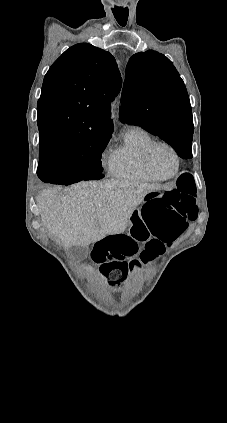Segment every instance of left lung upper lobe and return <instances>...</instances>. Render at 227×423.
<instances>
[{"label": "left lung upper lobe", "instance_id": "obj_1", "mask_svg": "<svg viewBox=\"0 0 227 423\" xmlns=\"http://www.w3.org/2000/svg\"><path fill=\"white\" fill-rule=\"evenodd\" d=\"M120 120L139 125L169 145L192 142L189 96L173 63L148 50L134 54L127 66L121 95Z\"/></svg>", "mask_w": 227, "mask_h": 423}]
</instances>
